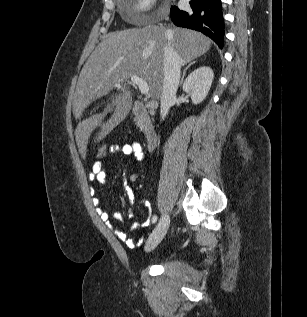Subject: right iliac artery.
<instances>
[{
  "instance_id": "82829eb1",
  "label": "right iliac artery",
  "mask_w": 307,
  "mask_h": 317,
  "mask_svg": "<svg viewBox=\"0 0 307 317\" xmlns=\"http://www.w3.org/2000/svg\"><path fill=\"white\" fill-rule=\"evenodd\" d=\"M156 221H157V216H154L152 222L155 223Z\"/></svg>"
}]
</instances>
